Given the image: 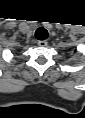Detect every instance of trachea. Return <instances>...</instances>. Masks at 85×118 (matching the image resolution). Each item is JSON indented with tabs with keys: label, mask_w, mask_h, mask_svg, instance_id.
<instances>
[{
	"label": "trachea",
	"mask_w": 85,
	"mask_h": 118,
	"mask_svg": "<svg viewBox=\"0 0 85 118\" xmlns=\"http://www.w3.org/2000/svg\"><path fill=\"white\" fill-rule=\"evenodd\" d=\"M36 39L45 40L48 37V32L44 28H39L35 33Z\"/></svg>",
	"instance_id": "3493384b"
}]
</instances>
